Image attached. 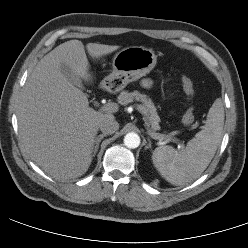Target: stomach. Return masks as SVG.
<instances>
[{
    "label": "stomach",
    "mask_w": 248,
    "mask_h": 248,
    "mask_svg": "<svg viewBox=\"0 0 248 248\" xmlns=\"http://www.w3.org/2000/svg\"><path fill=\"white\" fill-rule=\"evenodd\" d=\"M153 50L142 46L127 47L113 58L112 72L103 80V86L111 92L123 90L128 83L148 74L156 65Z\"/></svg>",
    "instance_id": "0dacf381"
}]
</instances>
